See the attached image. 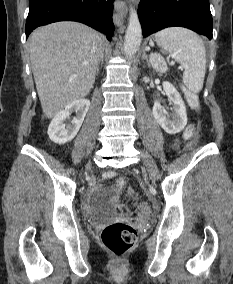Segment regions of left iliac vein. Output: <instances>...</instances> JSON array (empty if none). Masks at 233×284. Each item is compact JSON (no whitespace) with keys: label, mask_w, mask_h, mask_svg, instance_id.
<instances>
[{"label":"left iliac vein","mask_w":233,"mask_h":284,"mask_svg":"<svg viewBox=\"0 0 233 284\" xmlns=\"http://www.w3.org/2000/svg\"><path fill=\"white\" fill-rule=\"evenodd\" d=\"M141 157L145 167L147 168L150 178L154 180L157 179L159 177V172L154 159L145 151L141 153Z\"/></svg>","instance_id":"left-iliac-vein-1"}]
</instances>
